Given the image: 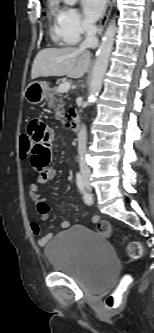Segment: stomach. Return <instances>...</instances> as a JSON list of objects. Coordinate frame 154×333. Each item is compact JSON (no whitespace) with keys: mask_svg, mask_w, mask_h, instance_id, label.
I'll return each mask as SVG.
<instances>
[{"mask_svg":"<svg viewBox=\"0 0 154 333\" xmlns=\"http://www.w3.org/2000/svg\"><path fill=\"white\" fill-rule=\"evenodd\" d=\"M48 94V84L43 81L31 82L25 89V99L28 103L37 105L41 103Z\"/></svg>","mask_w":154,"mask_h":333,"instance_id":"obj_1","label":"stomach"}]
</instances>
